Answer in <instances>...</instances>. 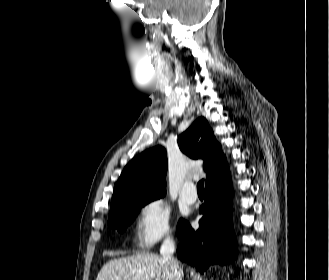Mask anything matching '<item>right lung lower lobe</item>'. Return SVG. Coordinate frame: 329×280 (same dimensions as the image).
<instances>
[{
	"label": "right lung lower lobe",
	"mask_w": 329,
	"mask_h": 280,
	"mask_svg": "<svg viewBox=\"0 0 329 280\" xmlns=\"http://www.w3.org/2000/svg\"><path fill=\"white\" fill-rule=\"evenodd\" d=\"M232 184L229 168L206 183L203 217L199 229L180 221L177 233L182 241L177 248L179 259L204 272L210 264H226L237 254L231 226Z\"/></svg>",
	"instance_id": "right-lung-lower-lobe-1"
}]
</instances>
